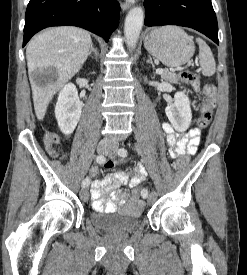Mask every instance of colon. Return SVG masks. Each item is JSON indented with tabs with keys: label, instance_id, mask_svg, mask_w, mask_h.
I'll use <instances>...</instances> for the list:
<instances>
[{
	"label": "colon",
	"instance_id": "1",
	"mask_svg": "<svg viewBox=\"0 0 247 275\" xmlns=\"http://www.w3.org/2000/svg\"><path fill=\"white\" fill-rule=\"evenodd\" d=\"M180 79L183 83L190 85L194 90L201 92L204 95V99L200 106V115L197 120L199 128H206L210 125L212 120L213 111L216 105V88L212 84H202L200 76L192 71L183 70L180 72ZM46 142L49 145H53L58 142L57 135L50 133L46 136ZM188 156H181L177 158L172 166L175 170H180L188 163ZM106 167H112V163H106ZM140 186L132 188V196L138 200L143 198V192Z\"/></svg>",
	"mask_w": 247,
	"mask_h": 275
}]
</instances>
